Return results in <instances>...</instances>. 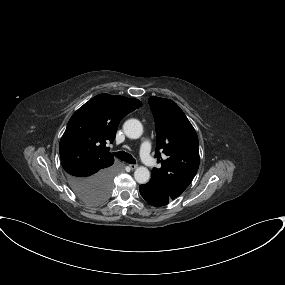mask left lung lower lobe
Returning a JSON list of instances; mask_svg holds the SVG:
<instances>
[{
    "label": "left lung lower lobe",
    "instance_id": "obj_1",
    "mask_svg": "<svg viewBox=\"0 0 285 285\" xmlns=\"http://www.w3.org/2000/svg\"><path fill=\"white\" fill-rule=\"evenodd\" d=\"M139 191L147 203L155 207L167 205L174 197L162 182L151 178L147 184L140 185Z\"/></svg>",
    "mask_w": 285,
    "mask_h": 285
}]
</instances>
